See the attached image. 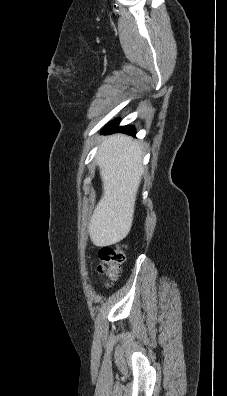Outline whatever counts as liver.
Here are the masks:
<instances>
[{
	"label": "liver",
	"mask_w": 227,
	"mask_h": 396,
	"mask_svg": "<svg viewBox=\"0 0 227 396\" xmlns=\"http://www.w3.org/2000/svg\"><path fill=\"white\" fill-rule=\"evenodd\" d=\"M96 163L103 195L91 217L88 233L93 244L102 247L120 242L131 230L144 169L142 146L130 136L111 135L102 140Z\"/></svg>",
	"instance_id": "obj_1"
}]
</instances>
